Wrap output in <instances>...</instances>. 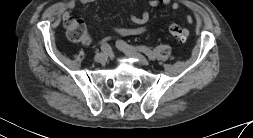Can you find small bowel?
Returning a JSON list of instances; mask_svg holds the SVG:
<instances>
[{"label":"small bowel","mask_w":253,"mask_h":138,"mask_svg":"<svg viewBox=\"0 0 253 138\" xmlns=\"http://www.w3.org/2000/svg\"><path fill=\"white\" fill-rule=\"evenodd\" d=\"M80 3H90V2H94L96 0H77ZM101 2H104L106 0H98ZM133 3H136L138 0H130ZM149 6L151 7H160L163 5H169L173 10H179L181 7V4L177 1H172V0H147ZM76 6V2L71 0L67 3L66 5V10L63 14V18L64 20H67L71 17L73 10L75 9ZM150 18V14L148 12V10L143 9L140 15H135L132 14L130 16V20L132 23L135 24V26L133 27H113L112 31L120 34L122 36H137V35H141L144 34L148 31L147 27L145 26V24L148 22ZM186 21L188 23H192L193 22V18L191 16H187L186 17ZM111 40V38L109 36L104 37L101 40V44L104 43H108Z\"/></svg>","instance_id":"obj_1"}]
</instances>
